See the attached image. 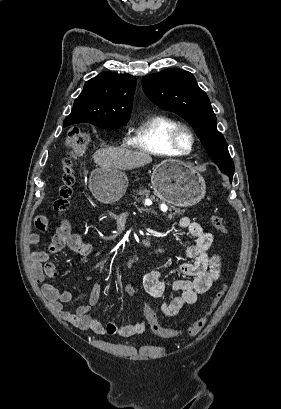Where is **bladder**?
Returning a JSON list of instances; mask_svg holds the SVG:
<instances>
[{"label":"bladder","instance_id":"1","mask_svg":"<svg viewBox=\"0 0 281 409\" xmlns=\"http://www.w3.org/2000/svg\"><path fill=\"white\" fill-rule=\"evenodd\" d=\"M144 340H145V337H142V336H138V337L135 339V341H136L137 343H144Z\"/></svg>","mask_w":281,"mask_h":409}]
</instances>
